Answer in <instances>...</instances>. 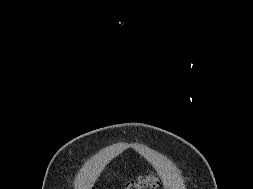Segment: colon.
Listing matches in <instances>:
<instances>
[{
  "mask_svg": "<svg viewBox=\"0 0 253 189\" xmlns=\"http://www.w3.org/2000/svg\"><path fill=\"white\" fill-rule=\"evenodd\" d=\"M157 179L152 175H145L129 182L124 189H156Z\"/></svg>",
  "mask_w": 253,
  "mask_h": 189,
  "instance_id": "5ec220e1",
  "label": "colon"
}]
</instances>
